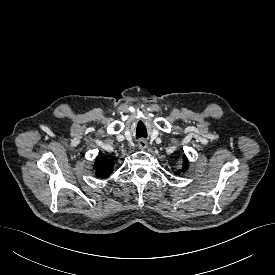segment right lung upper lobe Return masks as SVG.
I'll list each match as a JSON object with an SVG mask.
<instances>
[{
    "label": "right lung upper lobe",
    "mask_w": 275,
    "mask_h": 275,
    "mask_svg": "<svg viewBox=\"0 0 275 275\" xmlns=\"http://www.w3.org/2000/svg\"><path fill=\"white\" fill-rule=\"evenodd\" d=\"M114 161L110 159H105L101 156L96 158L94 169L96 171V175L99 178L108 177L113 171Z\"/></svg>",
    "instance_id": "right-lung-upper-lobe-1"
}]
</instances>
